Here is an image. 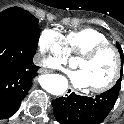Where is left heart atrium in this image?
Masks as SVG:
<instances>
[{"label":"left heart atrium","mask_w":124,"mask_h":124,"mask_svg":"<svg viewBox=\"0 0 124 124\" xmlns=\"http://www.w3.org/2000/svg\"><path fill=\"white\" fill-rule=\"evenodd\" d=\"M72 83L79 88H87L88 83L85 77V73L81 70L74 71L69 74Z\"/></svg>","instance_id":"39dd6f15"}]
</instances>
